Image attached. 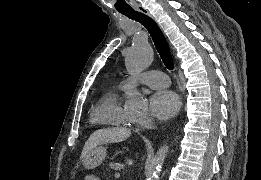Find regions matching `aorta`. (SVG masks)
<instances>
[{"mask_svg": "<svg viewBox=\"0 0 261 180\" xmlns=\"http://www.w3.org/2000/svg\"><path fill=\"white\" fill-rule=\"evenodd\" d=\"M154 52L148 42L135 43L126 52L125 64L131 75L138 74L145 70L153 61ZM126 106L133 110H140L147 106L143 96L137 90L126 93ZM169 147L162 146L155 157L146 166V180H158L159 173L165 161Z\"/></svg>", "mask_w": 261, "mask_h": 180, "instance_id": "762f6f07", "label": "aorta"}]
</instances>
